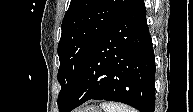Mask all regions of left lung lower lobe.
Segmentation results:
<instances>
[{
  "mask_svg": "<svg viewBox=\"0 0 193 112\" xmlns=\"http://www.w3.org/2000/svg\"><path fill=\"white\" fill-rule=\"evenodd\" d=\"M145 10L143 0H132L105 31L59 107L61 112L92 99L154 112L155 60Z\"/></svg>",
  "mask_w": 193,
  "mask_h": 112,
  "instance_id": "0a47b994",
  "label": "left lung lower lobe"
}]
</instances>
